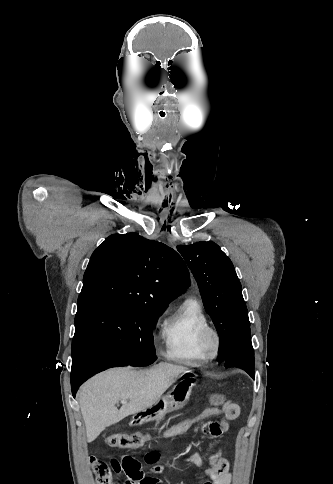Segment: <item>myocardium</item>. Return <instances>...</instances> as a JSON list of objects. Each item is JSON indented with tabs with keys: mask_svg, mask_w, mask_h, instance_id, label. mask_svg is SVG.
Returning a JSON list of instances; mask_svg holds the SVG:
<instances>
[{
	"mask_svg": "<svg viewBox=\"0 0 333 484\" xmlns=\"http://www.w3.org/2000/svg\"><path fill=\"white\" fill-rule=\"evenodd\" d=\"M199 346L207 359L215 358L219 354L221 348V337L219 332L211 326L206 327L200 335Z\"/></svg>",
	"mask_w": 333,
	"mask_h": 484,
	"instance_id": "myocardium-1",
	"label": "myocardium"
}]
</instances>
